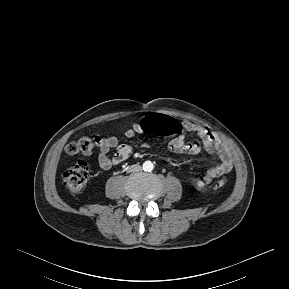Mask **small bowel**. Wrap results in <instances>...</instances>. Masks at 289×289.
Wrapping results in <instances>:
<instances>
[{"mask_svg":"<svg viewBox=\"0 0 289 289\" xmlns=\"http://www.w3.org/2000/svg\"><path fill=\"white\" fill-rule=\"evenodd\" d=\"M181 130L176 135H171L169 142L170 151L177 154L195 155L205 149L210 155L217 157L218 162L210 167L203 176V183H210L215 178L229 172L233 167V161L229 150L223 145L220 139L208 128L190 121H180ZM139 123L133 124L124 130V135L131 138L136 134H142ZM192 133L197 139L187 143L185 134ZM132 153V147L120 143L117 137L111 136L102 138L99 142L97 156L99 166L109 170L113 166L127 160Z\"/></svg>","mask_w":289,"mask_h":289,"instance_id":"small-bowel-1","label":"small bowel"}]
</instances>
